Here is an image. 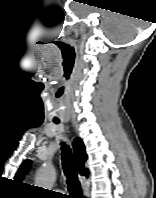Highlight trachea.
<instances>
[{
  "instance_id": "1",
  "label": "trachea",
  "mask_w": 156,
  "mask_h": 198,
  "mask_svg": "<svg viewBox=\"0 0 156 198\" xmlns=\"http://www.w3.org/2000/svg\"><path fill=\"white\" fill-rule=\"evenodd\" d=\"M59 123V121H54ZM62 164L64 174L67 177L68 190L72 194L67 198H81V186L77 178L76 165L71 154V150L67 145L62 143Z\"/></svg>"
}]
</instances>
